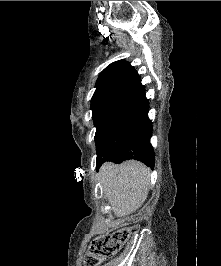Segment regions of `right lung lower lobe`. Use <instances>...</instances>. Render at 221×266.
Masks as SVG:
<instances>
[{
  "label": "right lung lower lobe",
  "mask_w": 221,
  "mask_h": 266,
  "mask_svg": "<svg viewBox=\"0 0 221 266\" xmlns=\"http://www.w3.org/2000/svg\"><path fill=\"white\" fill-rule=\"evenodd\" d=\"M148 111L149 103L143 89L97 149V168L105 161L120 163L127 159L140 160L147 166L154 167L155 154L150 143L152 124Z\"/></svg>",
  "instance_id": "obj_1"
}]
</instances>
